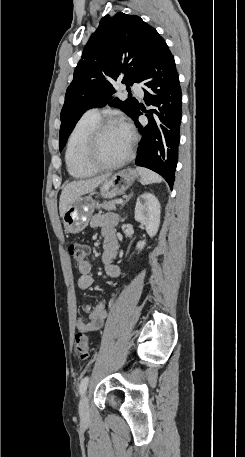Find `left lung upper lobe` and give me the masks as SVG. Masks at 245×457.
Listing matches in <instances>:
<instances>
[{
    "label": "left lung upper lobe",
    "mask_w": 245,
    "mask_h": 457,
    "mask_svg": "<svg viewBox=\"0 0 245 457\" xmlns=\"http://www.w3.org/2000/svg\"><path fill=\"white\" fill-rule=\"evenodd\" d=\"M160 40L158 32L139 16L118 12L101 19L66 91L61 111L60 151L77 121L89 108L109 103L132 116L138 101L131 97L125 101L111 100L115 93L113 84L122 80L130 90L129 85L139 83L148 58Z\"/></svg>",
    "instance_id": "5c2ea615"
}]
</instances>
